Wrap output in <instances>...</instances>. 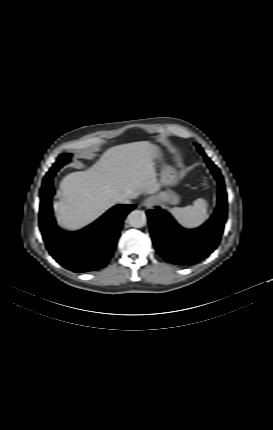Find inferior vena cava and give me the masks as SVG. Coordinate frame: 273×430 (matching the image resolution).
<instances>
[{
	"label": "inferior vena cava",
	"instance_id": "inferior-vena-cava-1",
	"mask_svg": "<svg viewBox=\"0 0 273 430\" xmlns=\"http://www.w3.org/2000/svg\"><path fill=\"white\" fill-rule=\"evenodd\" d=\"M117 201H118L119 203H122V204H129V203H130L129 198H127V197H121V198H119Z\"/></svg>",
	"mask_w": 273,
	"mask_h": 430
}]
</instances>
